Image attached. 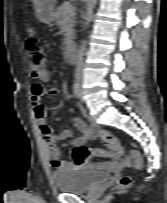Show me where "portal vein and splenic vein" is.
Returning <instances> with one entry per match:
<instances>
[{"label":"portal vein and splenic vein","instance_id":"portal-vein-and-splenic-vein-1","mask_svg":"<svg viewBox=\"0 0 167 203\" xmlns=\"http://www.w3.org/2000/svg\"><path fill=\"white\" fill-rule=\"evenodd\" d=\"M66 12L68 14H73L74 12V7L72 5H69L68 7H66Z\"/></svg>","mask_w":167,"mask_h":203}]
</instances>
